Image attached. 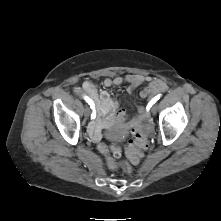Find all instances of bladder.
<instances>
[{"label": "bladder", "mask_w": 221, "mask_h": 221, "mask_svg": "<svg viewBox=\"0 0 221 221\" xmlns=\"http://www.w3.org/2000/svg\"><path fill=\"white\" fill-rule=\"evenodd\" d=\"M110 138H111L112 140H118V139H119V133H117V132H111V133H110Z\"/></svg>", "instance_id": "31cf9c89"}]
</instances>
